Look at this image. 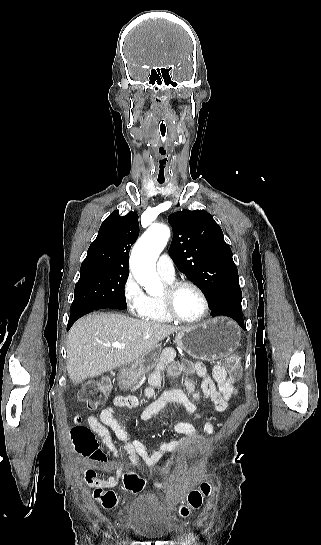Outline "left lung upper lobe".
<instances>
[{
    "label": "left lung upper lobe",
    "instance_id": "obj_1",
    "mask_svg": "<svg viewBox=\"0 0 321 545\" xmlns=\"http://www.w3.org/2000/svg\"><path fill=\"white\" fill-rule=\"evenodd\" d=\"M168 222L173 227L170 256L210 304L241 290L232 251L211 214L204 210H183L171 214Z\"/></svg>",
    "mask_w": 321,
    "mask_h": 545
}]
</instances>
